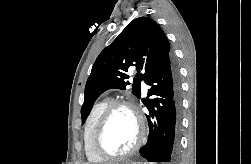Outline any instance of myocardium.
Segmentation results:
<instances>
[{
  "label": "myocardium",
  "mask_w": 251,
  "mask_h": 164,
  "mask_svg": "<svg viewBox=\"0 0 251 164\" xmlns=\"http://www.w3.org/2000/svg\"><path fill=\"white\" fill-rule=\"evenodd\" d=\"M118 108H127L131 111L137 123L138 136L136 142L128 151L120 154H111L102 147L101 139L111 115ZM145 133V123L136 106L132 102L126 100L113 101L105 108L96 123L92 136V149L94 153L103 160H121L130 157L139 150L144 142Z\"/></svg>",
  "instance_id": "obj_1"
}]
</instances>
